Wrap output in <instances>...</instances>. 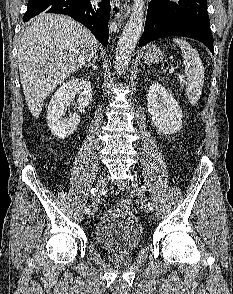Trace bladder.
<instances>
[{
  "label": "bladder",
  "mask_w": 233,
  "mask_h": 294,
  "mask_svg": "<svg viewBox=\"0 0 233 294\" xmlns=\"http://www.w3.org/2000/svg\"><path fill=\"white\" fill-rule=\"evenodd\" d=\"M94 237L104 251L126 255L141 245L143 230L139 219L130 210L112 208L100 217L94 229Z\"/></svg>",
  "instance_id": "bladder-1"
}]
</instances>
